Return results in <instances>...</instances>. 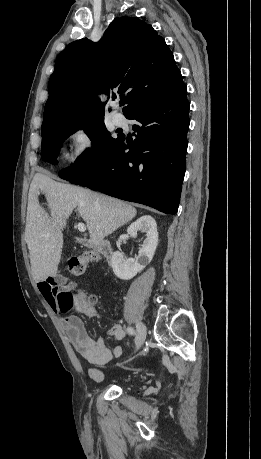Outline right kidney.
Returning a JSON list of instances; mask_svg holds the SVG:
<instances>
[{"mask_svg": "<svg viewBox=\"0 0 261 459\" xmlns=\"http://www.w3.org/2000/svg\"><path fill=\"white\" fill-rule=\"evenodd\" d=\"M145 232L146 239L139 248L137 259L125 258L123 253L116 251L112 255V268L114 274L122 280H130L137 273L141 272L148 263L151 262L157 244L158 232L155 219L150 215H144L133 222L127 229V233L133 237H137V233Z\"/></svg>", "mask_w": 261, "mask_h": 459, "instance_id": "1", "label": "right kidney"}]
</instances>
